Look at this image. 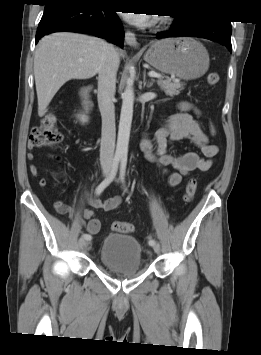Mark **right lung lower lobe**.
<instances>
[{"label":"right lung lower lobe","instance_id":"1","mask_svg":"<svg viewBox=\"0 0 261 355\" xmlns=\"http://www.w3.org/2000/svg\"><path fill=\"white\" fill-rule=\"evenodd\" d=\"M36 33V43L48 33L78 32L108 39L123 47L124 29L115 11L88 0H48Z\"/></svg>","mask_w":261,"mask_h":355}]
</instances>
